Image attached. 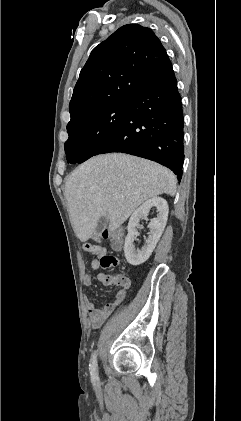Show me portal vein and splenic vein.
<instances>
[{"label": "portal vein and splenic vein", "instance_id": "1", "mask_svg": "<svg viewBox=\"0 0 241 421\" xmlns=\"http://www.w3.org/2000/svg\"><path fill=\"white\" fill-rule=\"evenodd\" d=\"M119 196H120V195H119L118 193H115V194H114V197H115V198H118Z\"/></svg>", "mask_w": 241, "mask_h": 421}]
</instances>
